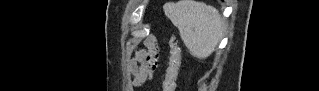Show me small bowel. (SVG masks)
<instances>
[{"instance_id":"1","label":"small bowel","mask_w":319,"mask_h":91,"mask_svg":"<svg viewBox=\"0 0 319 91\" xmlns=\"http://www.w3.org/2000/svg\"><path fill=\"white\" fill-rule=\"evenodd\" d=\"M151 44L156 47L154 38H150L149 45H151ZM141 56H139L138 59H140ZM132 70H133V72L135 74V83L136 84H140V83H142L145 80V78H146L145 71L152 72V70H144L142 68H138L136 62H134L132 64Z\"/></svg>"}]
</instances>
